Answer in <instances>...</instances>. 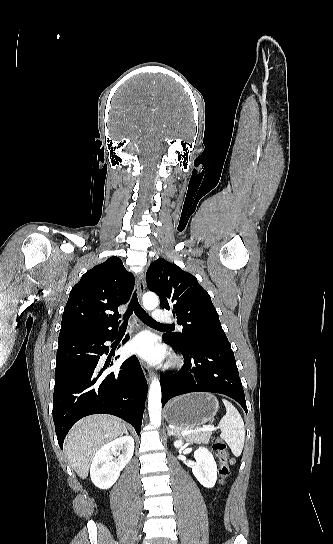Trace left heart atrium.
<instances>
[{"instance_id": "obj_1", "label": "left heart atrium", "mask_w": 333, "mask_h": 544, "mask_svg": "<svg viewBox=\"0 0 333 544\" xmlns=\"http://www.w3.org/2000/svg\"><path fill=\"white\" fill-rule=\"evenodd\" d=\"M128 351L154 363L162 360L165 355L164 349L156 346L148 334H140L134 338L128 346Z\"/></svg>"}]
</instances>
